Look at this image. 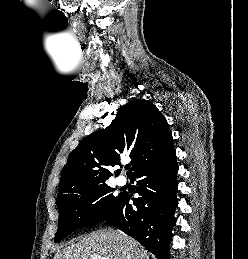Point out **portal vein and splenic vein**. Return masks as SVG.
Here are the masks:
<instances>
[{"instance_id": "18ae733b", "label": "portal vein and splenic vein", "mask_w": 248, "mask_h": 259, "mask_svg": "<svg viewBox=\"0 0 248 259\" xmlns=\"http://www.w3.org/2000/svg\"><path fill=\"white\" fill-rule=\"evenodd\" d=\"M92 259H109L108 257L94 256Z\"/></svg>"}]
</instances>
